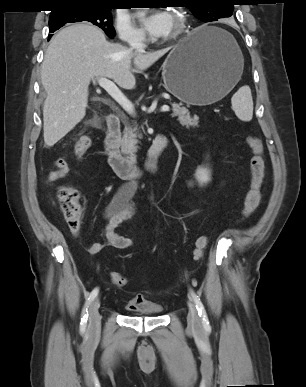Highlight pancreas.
<instances>
[{"instance_id": "pancreas-1", "label": "pancreas", "mask_w": 306, "mask_h": 387, "mask_svg": "<svg viewBox=\"0 0 306 387\" xmlns=\"http://www.w3.org/2000/svg\"><path fill=\"white\" fill-rule=\"evenodd\" d=\"M173 116L177 117V120L182 126L186 128L198 127L197 116L191 117L188 109L181 104L172 103ZM123 137L120 140L121 151L124 154H133L137 151L136 144L138 143L137 137L141 138V135L137 133V127L130 125L128 121H124Z\"/></svg>"}]
</instances>
